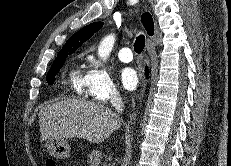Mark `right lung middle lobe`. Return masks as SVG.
Returning <instances> with one entry per match:
<instances>
[{
  "label": "right lung middle lobe",
  "instance_id": "1",
  "mask_svg": "<svg viewBox=\"0 0 231 166\" xmlns=\"http://www.w3.org/2000/svg\"><path fill=\"white\" fill-rule=\"evenodd\" d=\"M67 56L68 54L58 55L57 58L54 60L53 65L51 66L47 74L48 84L52 85L54 83L55 76L59 72L60 68L63 66Z\"/></svg>",
  "mask_w": 231,
  "mask_h": 166
}]
</instances>
